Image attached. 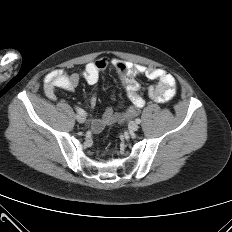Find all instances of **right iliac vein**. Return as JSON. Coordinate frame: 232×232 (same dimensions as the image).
I'll return each instance as SVG.
<instances>
[{
	"label": "right iliac vein",
	"instance_id": "right-iliac-vein-1",
	"mask_svg": "<svg viewBox=\"0 0 232 232\" xmlns=\"http://www.w3.org/2000/svg\"><path fill=\"white\" fill-rule=\"evenodd\" d=\"M76 120L79 122V123H84L86 121V117L82 114H76Z\"/></svg>",
	"mask_w": 232,
	"mask_h": 232
}]
</instances>
